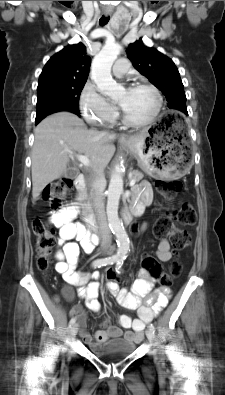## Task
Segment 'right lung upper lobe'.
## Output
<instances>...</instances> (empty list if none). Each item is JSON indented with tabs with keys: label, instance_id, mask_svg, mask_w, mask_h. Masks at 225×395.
<instances>
[{
	"label": "right lung upper lobe",
	"instance_id": "obj_1",
	"mask_svg": "<svg viewBox=\"0 0 225 395\" xmlns=\"http://www.w3.org/2000/svg\"><path fill=\"white\" fill-rule=\"evenodd\" d=\"M91 65L83 43L69 45L53 55L44 66L39 83L86 81Z\"/></svg>",
	"mask_w": 225,
	"mask_h": 395
}]
</instances>
